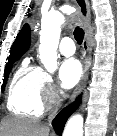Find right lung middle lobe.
Here are the masks:
<instances>
[{"mask_svg": "<svg viewBox=\"0 0 117 136\" xmlns=\"http://www.w3.org/2000/svg\"><path fill=\"white\" fill-rule=\"evenodd\" d=\"M16 60L17 59L8 60V63L6 64V69H5V72H4V79H3L2 90L4 89V87L6 85L9 73H10V71L12 69V65L16 62Z\"/></svg>", "mask_w": 117, "mask_h": 136, "instance_id": "1", "label": "right lung middle lobe"}]
</instances>
